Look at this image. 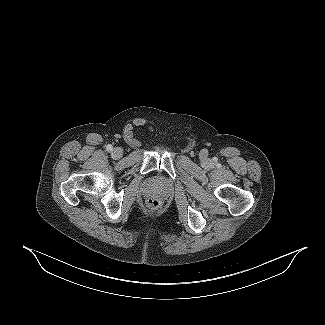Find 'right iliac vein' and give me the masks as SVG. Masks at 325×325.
<instances>
[{
	"label": "right iliac vein",
	"instance_id": "63e3f726",
	"mask_svg": "<svg viewBox=\"0 0 325 325\" xmlns=\"http://www.w3.org/2000/svg\"><path fill=\"white\" fill-rule=\"evenodd\" d=\"M122 154H123V152H122V149L121 148H114L113 150H112V153H111V155H112V157L114 158V159H119V158H121L122 157Z\"/></svg>",
	"mask_w": 325,
	"mask_h": 325
}]
</instances>
